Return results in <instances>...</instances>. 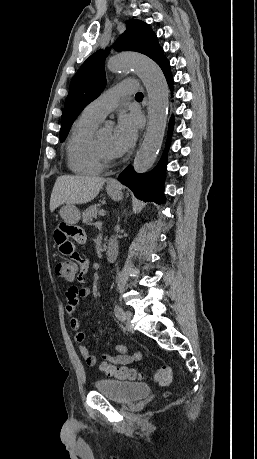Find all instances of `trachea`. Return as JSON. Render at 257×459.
I'll return each mask as SVG.
<instances>
[{"instance_id": "trachea-1", "label": "trachea", "mask_w": 257, "mask_h": 459, "mask_svg": "<svg viewBox=\"0 0 257 459\" xmlns=\"http://www.w3.org/2000/svg\"><path fill=\"white\" fill-rule=\"evenodd\" d=\"M135 98H143V94L141 92H138L136 95H135Z\"/></svg>"}]
</instances>
